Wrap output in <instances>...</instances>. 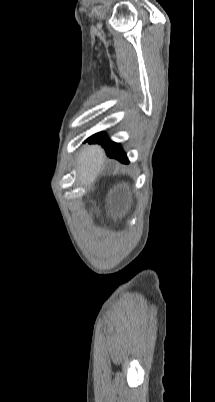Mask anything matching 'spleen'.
<instances>
[{
    "mask_svg": "<svg viewBox=\"0 0 215 402\" xmlns=\"http://www.w3.org/2000/svg\"><path fill=\"white\" fill-rule=\"evenodd\" d=\"M86 149L88 151H91L93 149V146L91 144H88L86 146ZM102 159L101 153L97 151H91L85 155V162L86 165H80L79 166V173L80 174H89L90 173V167H93L94 165L98 164ZM84 180L88 179L87 175L83 176Z\"/></svg>",
    "mask_w": 215,
    "mask_h": 402,
    "instance_id": "spleen-1",
    "label": "spleen"
}]
</instances>
